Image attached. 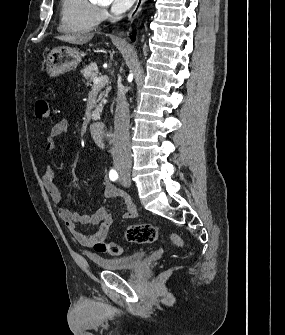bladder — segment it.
Here are the masks:
<instances>
[{
	"mask_svg": "<svg viewBox=\"0 0 285 335\" xmlns=\"http://www.w3.org/2000/svg\"><path fill=\"white\" fill-rule=\"evenodd\" d=\"M144 251H135L123 257L93 258V265H100L106 272L130 273L145 261Z\"/></svg>",
	"mask_w": 285,
	"mask_h": 335,
	"instance_id": "1",
	"label": "bladder"
}]
</instances>
